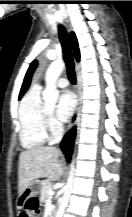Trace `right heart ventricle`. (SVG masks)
<instances>
[{"instance_id":"1","label":"right heart ventricle","mask_w":132,"mask_h":217,"mask_svg":"<svg viewBox=\"0 0 132 217\" xmlns=\"http://www.w3.org/2000/svg\"><path fill=\"white\" fill-rule=\"evenodd\" d=\"M45 106L40 98V88H31L19 106V139L25 149H36L47 140Z\"/></svg>"}]
</instances>
